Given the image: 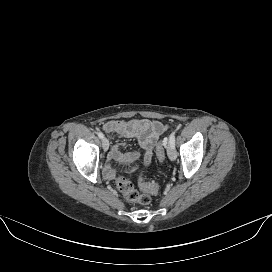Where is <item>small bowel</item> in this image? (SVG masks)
<instances>
[{
  "mask_svg": "<svg viewBox=\"0 0 272 272\" xmlns=\"http://www.w3.org/2000/svg\"><path fill=\"white\" fill-rule=\"evenodd\" d=\"M103 129L115 133L121 138H135L141 149L143 165L148 166L153 157V149L167 127L159 121L148 119L111 120L103 124ZM137 153H123L122 145H115L111 150L113 159L132 161Z\"/></svg>",
  "mask_w": 272,
  "mask_h": 272,
  "instance_id": "obj_1",
  "label": "small bowel"
}]
</instances>
